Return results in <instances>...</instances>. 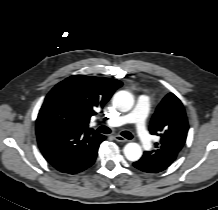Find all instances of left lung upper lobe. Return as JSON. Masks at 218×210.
<instances>
[{"mask_svg": "<svg viewBox=\"0 0 218 210\" xmlns=\"http://www.w3.org/2000/svg\"><path fill=\"white\" fill-rule=\"evenodd\" d=\"M188 121L181 101L173 94H167L158 105L150 123V133L160 136L156 149L151 153L156 159H171L173 162L183 148L187 132Z\"/></svg>", "mask_w": 218, "mask_h": 210, "instance_id": "obj_1", "label": "left lung upper lobe"}]
</instances>
